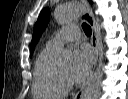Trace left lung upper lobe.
I'll use <instances>...</instances> for the list:
<instances>
[{"instance_id": "5c2ea615", "label": "left lung upper lobe", "mask_w": 128, "mask_h": 99, "mask_svg": "<svg viewBox=\"0 0 128 99\" xmlns=\"http://www.w3.org/2000/svg\"><path fill=\"white\" fill-rule=\"evenodd\" d=\"M89 1L91 2V0ZM49 15H50L49 8H44L38 17V20L33 30V38H32L31 46H30V56H32L35 45L38 42L42 32L44 31V29L46 28L48 24Z\"/></svg>"}]
</instances>
